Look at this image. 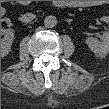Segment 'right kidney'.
<instances>
[{
    "label": "right kidney",
    "mask_w": 109,
    "mask_h": 109,
    "mask_svg": "<svg viewBox=\"0 0 109 109\" xmlns=\"http://www.w3.org/2000/svg\"><path fill=\"white\" fill-rule=\"evenodd\" d=\"M2 35H4V37L1 39V55L5 56L9 53L11 49L14 39V30L4 29L2 30Z\"/></svg>",
    "instance_id": "obj_1"
}]
</instances>
